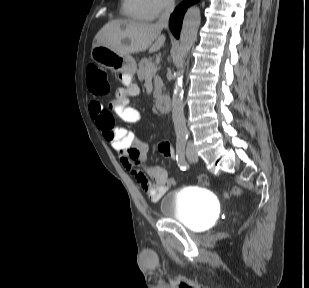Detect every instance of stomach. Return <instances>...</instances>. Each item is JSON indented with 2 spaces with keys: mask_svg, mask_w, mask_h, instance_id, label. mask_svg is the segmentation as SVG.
<instances>
[{
  "mask_svg": "<svg viewBox=\"0 0 309 288\" xmlns=\"http://www.w3.org/2000/svg\"><path fill=\"white\" fill-rule=\"evenodd\" d=\"M91 59L107 69L132 76L137 70L136 62L132 56L117 53L105 45L92 47Z\"/></svg>",
  "mask_w": 309,
  "mask_h": 288,
  "instance_id": "stomach-1",
  "label": "stomach"
}]
</instances>
